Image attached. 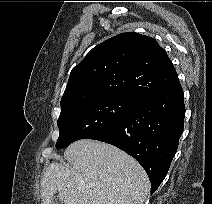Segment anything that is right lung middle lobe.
Segmentation results:
<instances>
[{
  "mask_svg": "<svg viewBox=\"0 0 212 204\" xmlns=\"http://www.w3.org/2000/svg\"><path fill=\"white\" fill-rule=\"evenodd\" d=\"M136 101L122 96L100 97L61 109L56 148L102 133L124 118Z\"/></svg>",
  "mask_w": 212,
  "mask_h": 204,
  "instance_id": "right-lung-middle-lobe-1",
  "label": "right lung middle lobe"
}]
</instances>
